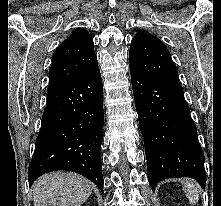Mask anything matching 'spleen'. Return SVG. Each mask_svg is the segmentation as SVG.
<instances>
[{"mask_svg":"<svg viewBox=\"0 0 221 206\" xmlns=\"http://www.w3.org/2000/svg\"><path fill=\"white\" fill-rule=\"evenodd\" d=\"M184 192L190 203L195 205L199 200L198 186L193 181L184 182Z\"/></svg>","mask_w":221,"mask_h":206,"instance_id":"obj_1","label":"spleen"}]
</instances>
